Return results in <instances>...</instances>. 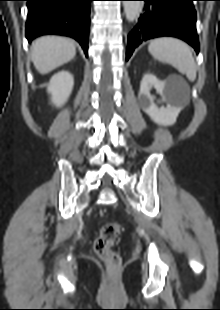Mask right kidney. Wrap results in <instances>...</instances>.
I'll list each match as a JSON object with an SVG mask.
<instances>
[{"label":"right kidney","mask_w":220,"mask_h":310,"mask_svg":"<svg viewBox=\"0 0 220 310\" xmlns=\"http://www.w3.org/2000/svg\"><path fill=\"white\" fill-rule=\"evenodd\" d=\"M74 86V78L68 71H60L52 76L47 87L51 101L56 107L63 106L68 100Z\"/></svg>","instance_id":"obj_1"}]
</instances>
